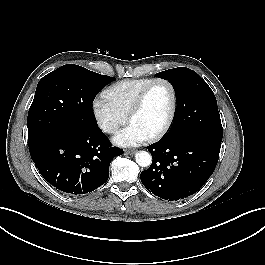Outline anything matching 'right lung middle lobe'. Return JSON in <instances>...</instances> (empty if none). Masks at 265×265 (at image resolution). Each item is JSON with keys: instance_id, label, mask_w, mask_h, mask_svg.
<instances>
[{"instance_id": "right-lung-middle-lobe-1", "label": "right lung middle lobe", "mask_w": 265, "mask_h": 265, "mask_svg": "<svg viewBox=\"0 0 265 265\" xmlns=\"http://www.w3.org/2000/svg\"><path fill=\"white\" fill-rule=\"evenodd\" d=\"M114 80L75 64L61 66L44 76L28 112V138L68 127H98L93 100Z\"/></svg>"}]
</instances>
